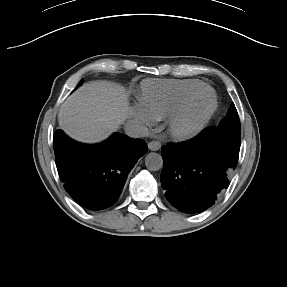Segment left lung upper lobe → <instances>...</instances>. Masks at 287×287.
Returning <instances> with one entry per match:
<instances>
[{
  "label": "left lung upper lobe",
  "mask_w": 287,
  "mask_h": 287,
  "mask_svg": "<svg viewBox=\"0 0 287 287\" xmlns=\"http://www.w3.org/2000/svg\"><path fill=\"white\" fill-rule=\"evenodd\" d=\"M216 130L233 139L240 140V120L234 103L231 104L227 116L220 122Z\"/></svg>",
  "instance_id": "5c2ea615"
}]
</instances>
